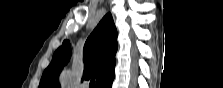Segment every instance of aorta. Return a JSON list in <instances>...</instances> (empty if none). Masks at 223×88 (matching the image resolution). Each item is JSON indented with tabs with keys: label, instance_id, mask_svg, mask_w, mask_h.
<instances>
[{
	"label": "aorta",
	"instance_id": "obj_1",
	"mask_svg": "<svg viewBox=\"0 0 223 88\" xmlns=\"http://www.w3.org/2000/svg\"><path fill=\"white\" fill-rule=\"evenodd\" d=\"M66 79H67V74H66V72H64L63 76H62V80H63L62 82L64 85H65Z\"/></svg>",
	"mask_w": 223,
	"mask_h": 88
}]
</instances>
